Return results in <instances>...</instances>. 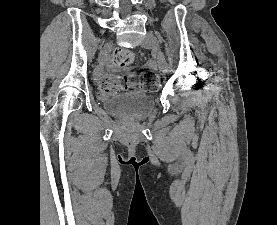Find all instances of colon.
I'll use <instances>...</instances> for the list:
<instances>
[{"label":"colon","instance_id":"obj_1","mask_svg":"<svg viewBox=\"0 0 277 225\" xmlns=\"http://www.w3.org/2000/svg\"><path fill=\"white\" fill-rule=\"evenodd\" d=\"M136 53L130 49H117L112 56V65L124 68L131 65L136 60ZM160 77L158 72L147 69L139 75V85L147 92H155L159 87ZM136 85V75L134 73L111 76L105 78L99 86V94L108 97L119 92L132 88Z\"/></svg>","mask_w":277,"mask_h":225}]
</instances>
